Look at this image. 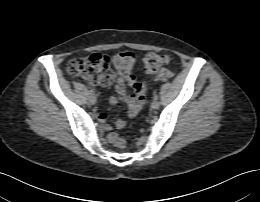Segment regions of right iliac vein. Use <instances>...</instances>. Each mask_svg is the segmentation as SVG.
<instances>
[{
	"label": "right iliac vein",
	"mask_w": 260,
	"mask_h": 202,
	"mask_svg": "<svg viewBox=\"0 0 260 202\" xmlns=\"http://www.w3.org/2000/svg\"><path fill=\"white\" fill-rule=\"evenodd\" d=\"M89 102H90L92 105H94V104L96 103V97L93 96V95H91V96L89 97Z\"/></svg>",
	"instance_id": "obj_1"
}]
</instances>
